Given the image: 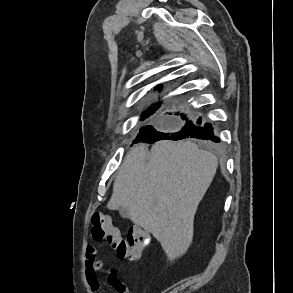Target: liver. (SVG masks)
Here are the masks:
<instances>
[{
	"label": "liver",
	"instance_id": "1",
	"mask_svg": "<svg viewBox=\"0 0 293 293\" xmlns=\"http://www.w3.org/2000/svg\"><path fill=\"white\" fill-rule=\"evenodd\" d=\"M217 157L191 141L161 140L151 151L137 144L124 159L107 207L120 206L150 232L169 258L182 256L193 239L194 216L216 173Z\"/></svg>",
	"mask_w": 293,
	"mask_h": 293
}]
</instances>
